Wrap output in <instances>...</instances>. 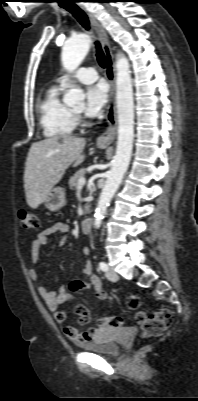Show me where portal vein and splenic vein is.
I'll return each mask as SVG.
<instances>
[{"mask_svg": "<svg viewBox=\"0 0 198 401\" xmlns=\"http://www.w3.org/2000/svg\"><path fill=\"white\" fill-rule=\"evenodd\" d=\"M85 184H86V178H85V177H81V178L78 180L77 188L80 189V188H82Z\"/></svg>", "mask_w": 198, "mask_h": 401, "instance_id": "1", "label": "portal vein and splenic vein"}]
</instances>
